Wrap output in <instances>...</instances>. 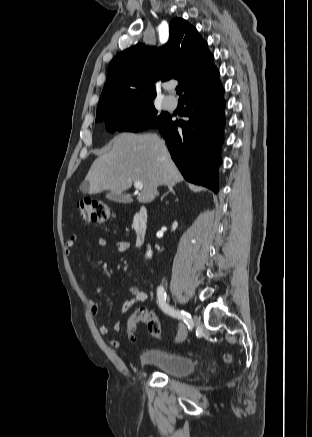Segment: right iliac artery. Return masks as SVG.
I'll use <instances>...</instances> for the list:
<instances>
[{
	"label": "right iliac artery",
	"instance_id": "82829eb1",
	"mask_svg": "<svg viewBox=\"0 0 312 437\" xmlns=\"http://www.w3.org/2000/svg\"><path fill=\"white\" fill-rule=\"evenodd\" d=\"M157 299L159 307L162 309L163 312L167 313L172 317L183 320L189 329L193 327V321L190 314L185 313L184 311L176 310L166 303V292L164 291V288L162 286L158 287L157 289Z\"/></svg>",
	"mask_w": 312,
	"mask_h": 437
}]
</instances>
